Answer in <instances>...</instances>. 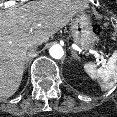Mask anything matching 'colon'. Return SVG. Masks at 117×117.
Instances as JSON below:
<instances>
[{
	"label": "colon",
	"instance_id": "1",
	"mask_svg": "<svg viewBox=\"0 0 117 117\" xmlns=\"http://www.w3.org/2000/svg\"><path fill=\"white\" fill-rule=\"evenodd\" d=\"M94 32L97 33V34L101 33V28L99 26H95Z\"/></svg>",
	"mask_w": 117,
	"mask_h": 117
}]
</instances>
